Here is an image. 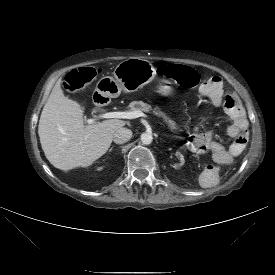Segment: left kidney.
<instances>
[{"label":"left kidney","instance_id":"left-kidney-1","mask_svg":"<svg viewBox=\"0 0 275 275\" xmlns=\"http://www.w3.org/2000/svg\"><path fill=\"white\" fill-rule=\"evenodd\" d=\"M177 156L179 157V159L175 160L173 163V167L177 170H180L183 168L184 166V156L180 153H177Z\"/></svg>","mask_w":275,"mask_h":275}]
</instances>
